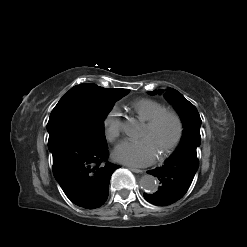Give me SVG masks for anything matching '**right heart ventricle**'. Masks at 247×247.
<instances>
[{
	"mask_svg": "<svg viewBox=\"0 0 247 247\" xmlns=\"http://www.w3.org/2000/svg\"><path fill=\"white\" fill-rule=\"evenodd\" d=\"M131 107L137 117L142 121H148L157 113L165 109V106L151 98H141L134 101Z\"/></svg>",
	"mask_w": 247,
	"mask_h": 247,
	"instance_id": "right-heart-ventricle-1",
	"label": "right heart ventricle"
}]
</instances>
